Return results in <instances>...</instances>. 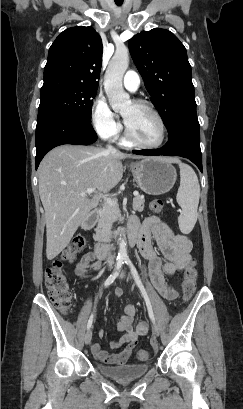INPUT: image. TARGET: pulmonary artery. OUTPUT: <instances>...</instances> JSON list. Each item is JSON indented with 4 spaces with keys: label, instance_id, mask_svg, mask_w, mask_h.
Returning <instances> with one entry per match:
<instances>
[{
    "label": "pulmonary artery",
    "instance_id": "e3ab8cb5",
    "mask_svg": "<svg viewBox=\"0 0 243 409\" xmlns=\"http://www.w3.org/2000/svg\"><path fill=\"white\" fill-rule=\"evenodd\" d=\"M123 85L131 92H135L140 85V76L135 71H127L124 75Z\"/></svg>",
    "mask_w": 243,
    "mask_h": 409
}]
</instances>
